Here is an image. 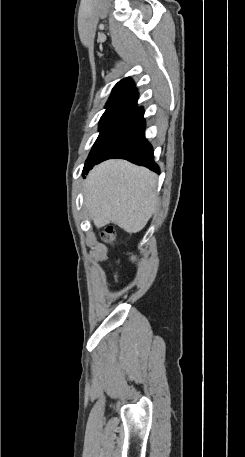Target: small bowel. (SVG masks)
Here are the masks:
<instances>
[{
    "mask_svg": "<svg viewBox=\"0 0 245 457\" xmlns=\"http://www.w3.org/2000/svg\"><path fill=\"white\" fill-rule=\"evenodd\" d=\"M114 280H115V281L118 280V272H116V273L114 274Z\"/></svg>",
    "mask_w": 245,
    "mask_h": 457,
    "instance_id": "obj_1",
    "label": "small bowel"
}]
</instances>
